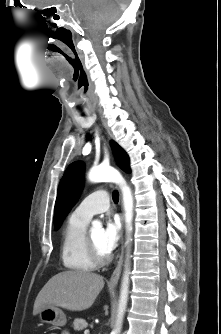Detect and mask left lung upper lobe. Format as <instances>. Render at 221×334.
I'll return each mask as SVG.
<instances>
[{
  "mask_svg": "<svg viewBox=\"0 0 221 334\" xmlns=\"http://www.w3.org/2000/svg\"><path fill=\"white\" fill-rule=\"evenodd\" d=\"M111 146L118 165L127 173H130L129 157L125 151L114 141ZM84 164L80 161L71 163L66 169L57 192L54 210V230H57L68 211L78 199L84 179Z\"/></svg>",
  "mask_w": 221,
  "mask_h": 334,
  "instance_id": "1",
  "label": "left lung upper lobe"
}]
</instances>
